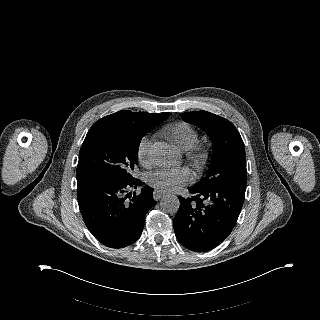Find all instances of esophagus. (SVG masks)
<instances>
[{
	"label": "esophagus",
	"mask_w": 320,
	"mask_h": 320,
	"mask_svg": "<svg viewBox=\"0 0 320 320\" xmlns=\"http://www.w3.org/2000/svg\"><path fill=\"white\" fill-rule=\"evenodd\" d=\"M164 194H165V192L160 189H155L153 191V197L155 200H159Z\"/></svg>",
	"instance_id": "esophagus-1"
}]
</instances>
